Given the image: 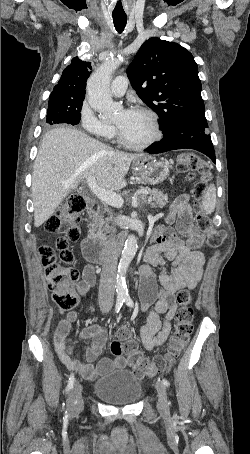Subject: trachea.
<instances>
[{"label":"trachea","instance_id":"3493384b","mask_svg":"<svg viewBox=\"0 0 250 454\" xmlns=\"http://www.w3.org/2000/svg\"><path fill=\"white\" fill-rule=\"evenodd\" d=\"M113 23L116 30L121 33L126 26L127 16L113 15Z\"/></svg>","mask_w":250,"mask_h":454}]
</instances>
